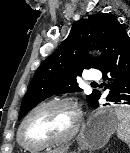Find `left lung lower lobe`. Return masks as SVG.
<instances>
[{"label":"left lung lower lobe","mask_w":130,"mask_h":153,"mask_svg":"<svg viewBox=\"0 0 130 153\" xmlns=\"http://www.w3.org/2000/svg\"><path fill=\"white\" fill-rule=\"evenodd\" d=\"M109 88L106 105L130 106V38L126 30L120 31L111 42L104 64L99 69ZM101 93L98 96L100 98ZM98 99L92 107H98Z\"/></svg>","instance_id":"obj_1"}]
</instances>
